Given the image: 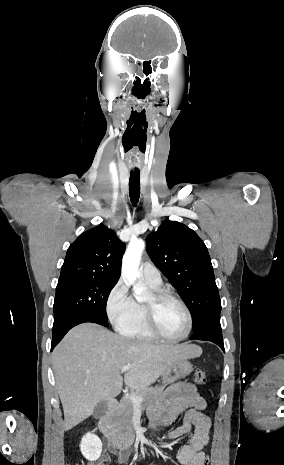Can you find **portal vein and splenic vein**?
<instances>
[{
    "label": "portal vein and splenic vein",
    "mask_w": 284,
    "mask_h": 465,
    "mask_svg": "<svg viewBox=\"0 0 284 465\" xmlns=\"http://www.w3.org/2000/svg\"><path fill=\"white\" fill-rule=\"evenodd\" d=\"M129 369H131V367H122L121 373H127ZM130 401H132L133 407H140L143 399L142 397H136V395H132V397H130Z\"/></svg>",
    "instance_id": "1"
}]
</instances>
